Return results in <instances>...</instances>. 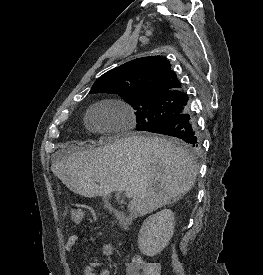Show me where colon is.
<instances>
[{
    "label": "colon",
    "mask_w": 263,
    "mask_h": 275,
    "mask_svg": "<svg viewBox=\"0 0 263 275\" xmlns=\"http://www.w3.org/2000/svg\"><path fill=\"white\" fill-rule=\"evenodd\" d=\"M69 215L70 219L75 223H79L83 219V212L80 209H71L69 211ZM132 264L136 268H138L144 275L155 274V266L146 262L141 256H136Z\"/></svg>",
    "instance_id": "colon-1"
}]
</instances>
